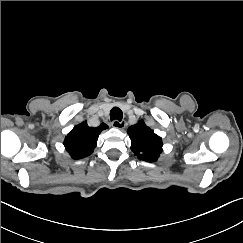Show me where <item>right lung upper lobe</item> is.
I'll list each match as a JSON object with an SVG mask.
<instances>
[{
    "instance_id": "right-lung-upper-lobe-1",
    "label": "right lung upper lobe",
    "mask_w": 243,
    "mask_h": 243,
    "mask_svg": "<svg viewBox=\"0 0 243 243\" xmlns=\"http://www.w3.org/2000/svg\"><path fill=\"white\" fill-rule=\"evenodd\" d=\"M106 124L93 128L84 121L76 125L65 137L64 146L73 159H81L92 154L96 147L98 136L107 129Z\"/></svg>"
}]
</instances>
